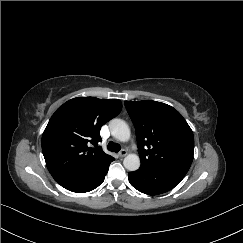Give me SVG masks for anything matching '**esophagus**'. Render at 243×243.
Wrapping results in <instances>:
<instances>
[{
  "mask_svg": "<svg viewBox=\"0 0 243 243\" xmlns=\"http://www.w3.org/2000/svg\"><path fill=\"white\" fill-rule=\"evenodd\" d=\"M119 157H125L127 155V151L125 149H122L119 153H118Z\"/></svg>",
  "mask_w": 243,
  "mask_h": 243,
  "instance_id": "34e87169",
  "label": "esophagus"
}]
</instances>
